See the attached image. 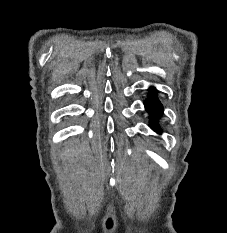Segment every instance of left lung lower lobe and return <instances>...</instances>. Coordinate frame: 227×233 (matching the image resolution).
Wrapping results in <instances>:
<instances>
[{
  "mask_svg": "<svg viewBox=\"0 0 227 233\" xmlns=\"http://www.w3.org/2000/svg\"><path fill=\"white\" fill-rule=\"evenodd\" d=\"M151 94L149 95V98L145 101V108L147 112L151 115V123L150 127L160 133L161 129L157 125V120L159 117L162 116L163 113V106L160 103V101L157 99L156 94L154 93L155 90L152 88L150 89Z\"/></svg>",
  "mask_w": 227,
  "mask_h": 233,
  "instance_id": "left-lung-lower-lobe-1",
  "label": "left lung lower lobe"
}]
</instances>
